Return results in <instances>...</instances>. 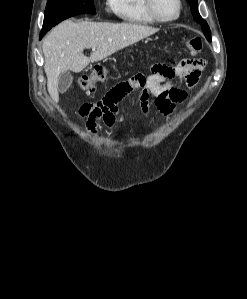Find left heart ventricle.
<instances>
[{
  "instance_id": "obj_1",
  "label": "left heart ventricle",
  "mask_w": 247,
  "mask_h": 299,
  "mask_svg": "<svg viewBox=\"0 0 247 299\" xmlns=\"http://www.w3.org/2000/svg\"><path fill=\"white\" fill-rule=\"evenodd\" d=\"M155 9L163 18H170L176 14V0H155Z\"/></svg>"
}]
</instances>
